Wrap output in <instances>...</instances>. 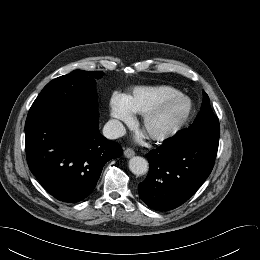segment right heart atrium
<instances>
[{"mask_svg":"<svg viewBox=\"0 0 260 260\" xmlns=\"http://www.w3.org/2000/svg\"><path fill=\"white\" fill-rule=\"evenodd\" d=\"M111 111V131L119 135L122 133L123 125L129 124L133 120V115L129 109L126 99L120 94H113L110 100Z\"/></svg>","mask_w":260,"mask_h":260,"instance_id":"obj_1","label":"right heart atrium"}]
</instances>
